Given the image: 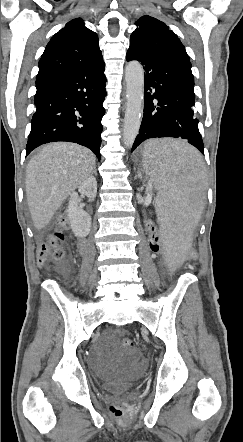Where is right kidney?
<instances>
[{"instance_id":"obj_1","label":"right kidney","mask_w":243,"mask_h":442,"mask_svg":"<svg viewBox=\"0 0 243 442\" xmlns=\"http://www.w3.org/2000/svg\"><path fill=\"white\" fill-rule=\"evenodd\" d=\"M78 192L88 198H94L97 194L96 179L92 176L86 179L79 186ZM79 202L80 198L78 193H71L68 204V218L74 235L83 238L90 232L91 216L79 207Z\"/></svg>"}]
</instances>
